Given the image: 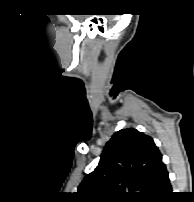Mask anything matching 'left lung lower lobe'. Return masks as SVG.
<instances>
[{"label": "left lung lower lobe", "mask_w": 194, "mask_h": 202, "mask_svg": "<svg viewBox=\"0 0 194 202\" xmlns=\"http://www.w3.org/2000/svg\"><path fill=\"white\" fill-rule=\"evenodd\" d=\"M171 195H172V187L170 185L168 172L165 167L160 176L159 183L151 200L166 202L169 201Z\"/></svg>", "instance_id": "1"}]
</instances>
